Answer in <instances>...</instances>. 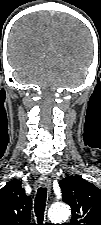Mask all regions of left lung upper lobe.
I'll return each mask as SVG.
<instances>
[{
	"label": "left lung upper lobe",
	"mask_w": 101,
	"mask_h": 225,
	"mask_svg": "<svg viewBox=\"0 0 101 225\" xmlns=\"http://www.w3.org/2000/svg\"><path fill=\"white\" fill-rule=\"evenodd\" d=\"M62 200L72 208L68 225H101V191L79 176H71L59 182Z\"/></svg>",
	"instance_id": "5c2ea615"
}]
</instances>
